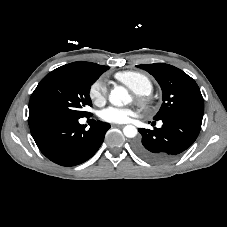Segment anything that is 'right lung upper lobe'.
Segmentation results:
<instances>
[{"instance_id":"obj_1","label":"right lung upper lobe","mask_w":227,"mask_h":227,"mask_svg":"<svg viewBox=\"0 0 227 227\" xmlns=\"http://www.w3.org/2000/svg\"><path fill=\"white\" fill-rule=\"evenodd\" d=\"M63 67L86 70V71H96V72L99 71L102 73L109 68L108 66H102L96 63L83 62V61L73 62L67 65H64Z\"/></svg>"}]
</instances>
